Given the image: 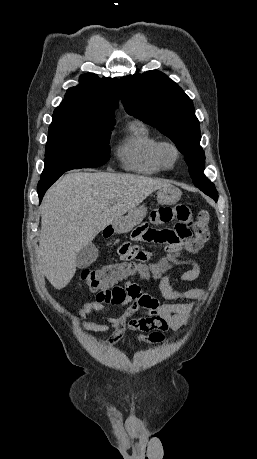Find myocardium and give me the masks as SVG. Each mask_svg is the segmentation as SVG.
Listing matches in <instances>:
<instances>
[{
	"instance_id": "1",
	"label": "myocardium",
	"mask_w": 257,
	"mask_h": 459,
	"mask_svg": "<svg viewBox=\"0 0 257 459\" xmlns=\"http://www.w3.org/2000/svg\"><path fill=\"white\" fill-rule=\"evenodd\" d=\"M170 150L174 157L171 162H169L166 159V151ZM156 156L160 164L165 168V169H173L177 163L179 162L181 158V152L179 148L170 141H159L156 147Z\"/></svg>"
}]
</instances>
